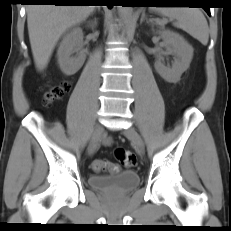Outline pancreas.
<instances>
[{
    "instance_id": "pancreas-1",
    "label": "pancreas",
    "mask_w": 231,
    "mask_h": 231,
    "mask_svg": "<svg viewBox=\"0 0 231 231\" xmlns=\"http://www.w3.org/2000/svg\"><path fill=\"white\" fill-rule=\"evenodd\" d=\"M156 23L160 26H164L165 25V21L164 20H159V21H156Z\"/></svg>"
}]
</instances>
